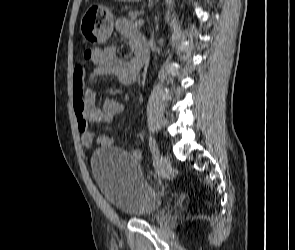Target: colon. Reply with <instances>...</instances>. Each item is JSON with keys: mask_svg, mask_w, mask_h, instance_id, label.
I'll return each instance as SVG.
<instances>
[{"mask_svg": "<svg viewBox=\"0 0 295 250\" xmlns=\"http://www.w3.org/2000/svg\"><path fill=\"white\" fill-rule=\"evenodd\" d=\"M92 49H86L85 51H84V54H83V56H84V59H86V60H90L91 59V57H92Z\"/></svg>", "mask_w": 295, "mask_h": 250, "instance_id": "colon-1", "label": "colon"}]
</instances>
